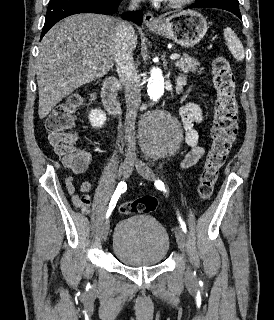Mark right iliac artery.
Instances as JSON below:
<instances>
[{
    "label": "right iliac artery",
    "mask_w": 274,
    "mask_h": 320,
    "mask_svg": "<svg viewBox=\"0 0 274 320\" xmlns=\"http://www.w3.org/2000/svg\"><path fill=\"white\" fill-rule=\"evenodd\" d=\"M126 189H127V184L125 182H120L118 184V187H117L115 193L113 194V196L111 198V201L109 203V208H108L107 213H106V218H108L111 215V213H112L113 209L115 208L116 203H117L121 193H124L126 191Z\"/></svg>",
    "instance_id": "right-iliac-artery-1"
}]
</instances>
